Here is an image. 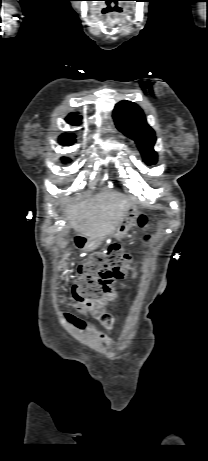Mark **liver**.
Instances as JSON below:
<instances>
[{
	"instance_id": "1",
	"label": "liver",
	"mask_w": 208,
	"mask_h": 461,
	"mask_svg": "<svg viewBox=\"0 0 208 461\" xmlns=\"http://www.w3.org/2000/svg\"><path fill=\"white\" fill-rule=\"evenodd\" d=\"M128 208L126 196L105 190L88 201L68 206L65 220L84 237L104 239L122 223Z\"/></svg>"
}]
</instances>
